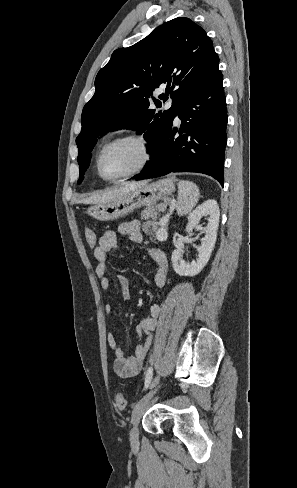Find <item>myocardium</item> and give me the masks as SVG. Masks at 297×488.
<instances>
[{"label": "myocardium", "instance_id": "myocardium-1", "mask_svg": "<svg viewBox=\"0 0 297 488\" xmlns=\"http://www.w3.org/2000/svg\"><path fill=\"white\" fill-rule=\"evenodd\" d=\"M123 141H136V142H138L143 149V154H144L143 158H142L141 162L134 169L130 170L129 172L124 173V174L119 175V176H116V177H107L104 174L103 168H102L103 157L109 148H111L112 146H114L120 142H123ZM153 156H154V151H153L152 143L150 142V140L145 135L140 134V133H127V134L118 136V137L108 141L102 147V149L100 150L99 155L97 157V170H98L100 177L102 179H104L105 181L116 182V181H120L122 179L132 177V176L142 172L143 170H145L150 165V163L152 162Z\"/></svg>", "mask_w": 297, "mask_h": 488}]
</instances>
